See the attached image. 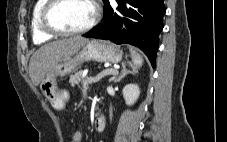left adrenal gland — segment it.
Instances as JSON below:
<instances>
[{
    "mask_svg": "<svg viewBox=\"0 0 227 142\" xmlns=\"http://www.w3.org/2000/svg\"><path fill=\"white\" fill-rule=\"evenodd\" d=\"M121 66H122V74L119 75V76H114V77H112V81H113L114 83L120 82L127 74L133 73L132 71H130V70H128V69L126 68V62H123V63L121 64Z\"/></svg>",
    "mask_w": 227,
    "mask_h": 142,
    "instance_id": "left-adrenal-gland-1",
    "label": "left adrenal gland"
}]
</instances>
